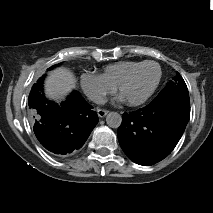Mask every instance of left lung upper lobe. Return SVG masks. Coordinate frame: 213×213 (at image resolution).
Segmentation results:
<instances>
[{
  "label": "left lung upper lobe",
  "mask_w": 213,
  "mask_h": 213,
  "mask_svg": "<svg viewBox=\"0 0 213 213\" xmlns=\"http://www.w3.org/2000/svg\"><path fill=\"white\" fill-rule=\"evenodd\" d=\"M168 90L188 92L187 86H186L183 78L181 77V75L178 72H177V75L173 78V80L168 82L166 84L165 88L159 94H162Z\"/></svg>",
  "instance_id": "1"
}]
</instances>
